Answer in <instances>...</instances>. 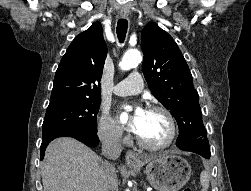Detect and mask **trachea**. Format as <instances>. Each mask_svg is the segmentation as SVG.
I'll return each instance as SVG.
<instances>
[{"label": "trachea", "instance_id": "3493384b", "mask_svg": "<svg viewBox=\"0 0 251 191\" xmlns=\"http://www.w3.org/2000/svg\"><path fill=\"white\" fill-rule=\"evenodd\" d=\"M128 29V21L125 18H120L117 23L116 33L120 43H123Z\"/></svg>", "mask_w": 251, "mask_h": 191}]
</instances>
